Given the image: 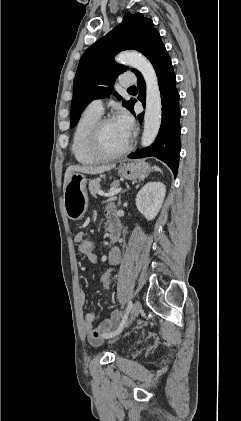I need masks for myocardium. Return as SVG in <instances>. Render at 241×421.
<instances>
[{"instance_id": "obj_1", "label": "myocardium", "mask_w": 241, "mask_h": 421, "mask_svg": "<svg viewBox=\"0 0 241 421\" xmlns=\"http://www.w3.org/2000/svg\"><path fill=\"white\" fill-rule=\"evenodd\" d=\"M113 121H115V120L111 117L100 118L93 125V127L90 131L89 139H88L89 149L92 152V154L95 155L100 160H114V159L121 158L124 155H126L132 147V142L129 139L126 146L118 152L109 153V152L104 150V148L102 147V143H101L102 130H103V128L106 124H108L110 122H113Z\"/></svg>"}]
</instances>
